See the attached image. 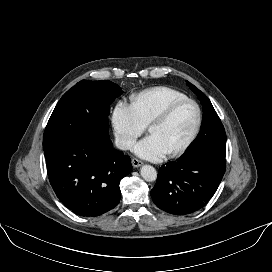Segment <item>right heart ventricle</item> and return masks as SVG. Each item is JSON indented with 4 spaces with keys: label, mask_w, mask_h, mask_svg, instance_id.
Listing matches in <instances>:
<instances>
[{
    "label": "right heart ventricle",
    "mask_w": 272,
    "mask_h": 272,
    "mask_svg": "<svg viewBox=\"0 0 272 272\" xmlns=\"http://www.w3.org/2000/svg\"><path fill=\"white\" fill-rule=\"evenodd\" d=\"M187 96L171 87L156 86L145 89L131 96V108L144 126L164 108L174 101L185 99Z\"/></svg>",
    "instance_id": "right-heart-ventricle-1"
}]
</instances>
